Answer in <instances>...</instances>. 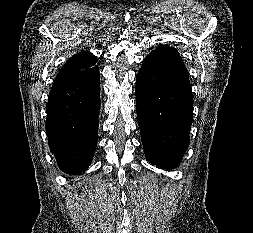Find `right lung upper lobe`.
Wrapping results in <instances>:
<instances>
[{
	"label": "right lung upper lobe",
	"instance_id": "right-lung-upper-lobe-1",
	"mask_svg": "<svg viewBox=\"0 0 253 233\" xmlns=\"http://www.w3.org/2000/svg\"><path fill=\"white\" fill-rule=\"evenodd\" d=\"M97 57L93 56L92 53L89 52H79L71 57L62 67V70L65 69H85L88 67H92L96 64Z\"/></svg>",
	"mask_w": 253,
	"mask_h": 233
}]
</instances>
